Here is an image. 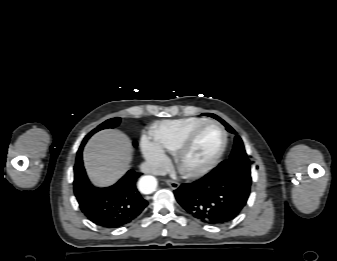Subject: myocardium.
Returning <instances> with one entry per match:
<instances>
[{
	"label": "myocardium",
	"mask_w": 337,
	"mask_h": 261,
	"mask_svg": "<svg viewBox=\"0 0 337 261\" xmlns=\"http://www.w3.org/2000/svg\"><path fill=\"white\" fill-rule=\"evenodd\" d=\"M214 125L217 126L221 133H222V144L218 150V152L214 155V157L207 162L205 165L188 170L185 169L183 166V160L185 156L187 155L188 151L190 150L195 138L197 135L200 133L202 129H204L207 126ZM228 144V133L225 129V127L218 121L216 120H206L203 123L197 125L194 127L184 138L176 152L174 153V163L177 168V170L185 177L188 178H198L201 176L206 175L209 173L213 168L216 167V165L220 162L221 158L223 157L226 148Z\"/></svg>",
	"instance_id": "obj_1"
}]
</instances>
